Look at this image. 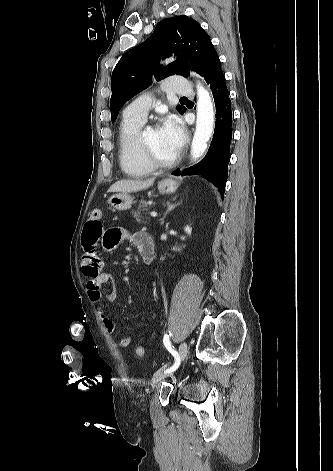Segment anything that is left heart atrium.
Returning <instances> with one entry per match:
<instances>
[{"label": "left heart atrium", "instance_id": "1", "mask_svg": "<svg viewBox=\"0 0 333 471\" xmlns=\"http://www.w3.org/2000/svg\"><path fill=\"white\" fill-rule=\"evenodd\" d=\"M159 130L167 147L174 154H177L185 140L184 131L180 122L175 117L168 116L165 118Z\"/></svg>", "mask_w": 333, "mask_h": 471}]
</instances>
